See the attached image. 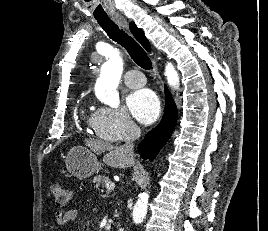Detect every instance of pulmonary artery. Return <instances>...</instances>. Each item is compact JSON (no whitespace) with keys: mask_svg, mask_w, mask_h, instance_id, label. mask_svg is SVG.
Segmentation results:
<instances>
[{"mask_svg":"<svg viewBox=\"0 0 268 231\" xmlns=\"http://www.w3.org/2000/svg\"><path fill=\"white\" fill-rule=\"evenodd\" d=\"M123 80L130 88H140L145 85L143 73L138 69H130L126 72Z\"/></svg>","mask_w":268,"mask_h":231,"instance_id":"e3ab8cb5","label":"pulmonary artery"}]
</instances>
